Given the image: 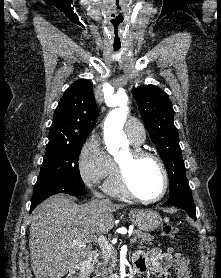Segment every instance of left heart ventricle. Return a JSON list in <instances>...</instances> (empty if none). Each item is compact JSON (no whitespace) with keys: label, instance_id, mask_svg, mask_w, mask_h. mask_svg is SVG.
Listing matches in <instances>:
<instances>
[{"label":"left heart ventricle","instance_id":"left-heart-ventricle-1","mask_svg":"<svg viewBox=\"0 0 221 278\" xmlns=\"http://www.w3.org/2000/svg\"><path fill=\"white\" fill-rule=\"evenodd\" d=\"M116 160L127 167L130 183L136 193L144 197L159 195L163 176L156 161L151 158L131 160L129 149L118 153Z\"/></svg>","mask_w":221,"mask_h":278}]
</instances>
